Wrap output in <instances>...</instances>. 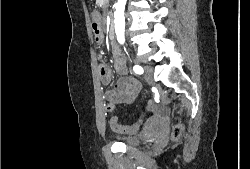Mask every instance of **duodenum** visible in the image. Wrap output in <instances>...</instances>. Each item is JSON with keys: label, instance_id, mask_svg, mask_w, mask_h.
<instances>
[{"label": "duodenum", "instance_id": "410a0bca", "mask_svg": "<svg viewBox=\"0 0 250 169\" xmlns=\"http://www.w3.org/2000/svg\"><path fill=\"white\" fill-rule=\"evenodd\" d=\"M109 38L111 42H114L116 40L115 28L112 25L109 27Z\"/></svg>", "mask_w": 250, "mask_h": 169}]
</instances>
